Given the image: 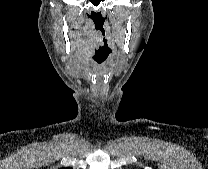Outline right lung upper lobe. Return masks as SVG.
<instances>
[{
  "label": "right lung upper lobe",
  "mask_w": 208,
  "mask_h": 169,
  "mask_svg": "<svg viewBox=\"0 0 208 169\" xmlns=\"http://www.w3.org/2000/svg\"><path fill=\"white\" fill-rule=\"evenodd\" d=\"M60 169H70V168H60Z\"/></svg>",
  "instance_id": "right-lung-upper-lobe-1"
}]
</instances>
